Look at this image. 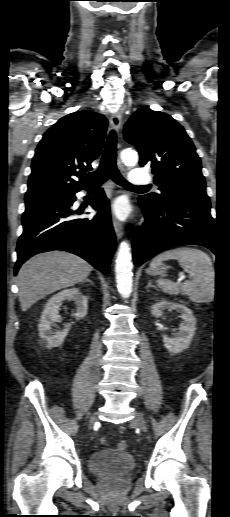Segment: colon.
Segmentation results:
<instances>
[{"label":"colon","mask_w":230,"mask_h":517,"mask_svg":"<svg viewBox=\"0 0 230 517\" xmlns=\"http://www.w3.org/2000/svg\"><path fill=\"white\" fill-rule=\"evenodd\" d=\"M118 448L123 451L127 450L129 448V443L127 441H120L118 443Z\"/></svg>","instance_id":"obj_1"}]
</instances>
